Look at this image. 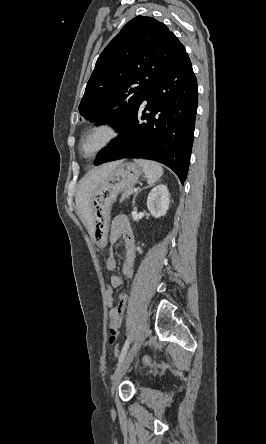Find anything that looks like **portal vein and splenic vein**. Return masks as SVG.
<instances>
[{
  "instance_id": "obj_1",
  "label": "portal vein and splenic vein",
  "mask_w": 266,
  "mask_h": 444,
  "mask_svg": "<svg viewBox=\"0 0 266 444\" xmlns=\"http://www.w3.org/2000/svg\"><path fill=\"white\" fill-rule=\"evenodd\" d=\"M137 191V189H134V192H136Z\"/></svg>"
}]
</instances>
